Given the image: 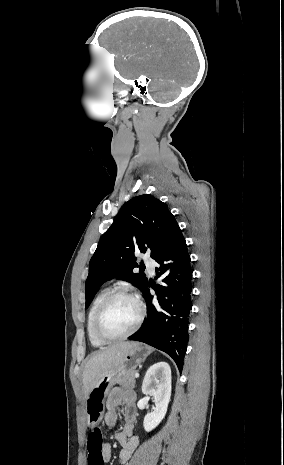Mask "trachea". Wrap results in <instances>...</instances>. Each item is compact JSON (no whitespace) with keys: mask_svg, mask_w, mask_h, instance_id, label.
Returning a JSON list of instances; mask_svg holds the SVG:
<instances>
[{"mask_svg":"<svg viewBox=\"0 0 284 465\" xmlns=\"http://www.w3.org/2000/svg\"><path fill=\"white\" fill-rule=\"evenodd\" d=\"M144 269H145V266L140 267L141 271H144Z\"/></svg>","mask_w":284,"mask_h":465,"instance_id":"trachea-1","label":"trachea"}]
</instances>
